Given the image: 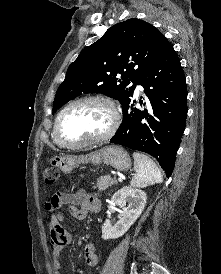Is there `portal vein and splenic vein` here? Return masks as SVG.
Segmentation results:
<instances>
[{"mask_svg":"<svg viewBox=\"0 0 221 274\" xmlns=\"http://www.w3.org/2000/svg\"><path fill=\"white\" fill-rule=\"evenodd\" d=\"M118 180H119V182H122L123 178H122V177H119Z\"/></svg>","mask_w":221,"mask_h":274,"instance_id":"18ae733b","label":"portal vein and splenic vein"}]
</instances>
